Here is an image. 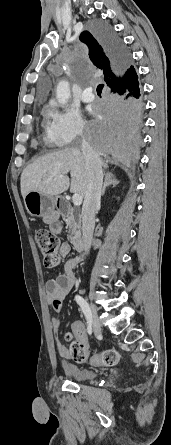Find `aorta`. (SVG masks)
<instances>
[{"label":"aorta","mask_w":171,"mask_h":445,"mask_svg":"<svg viewBox=\"0 0 171 445\" xmlns=\"http://www.w3.org/2000/svg\"><path fill=\"white\" fill-rule=\"evenodd\" d=\"M70 98V86L65 80L59 82L56 88V99L60 104H66Z\"/></svg>","instance_id":"1"}]
</instances>
